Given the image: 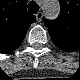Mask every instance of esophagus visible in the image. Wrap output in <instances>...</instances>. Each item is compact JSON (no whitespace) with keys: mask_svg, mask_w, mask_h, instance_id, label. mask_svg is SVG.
<instances>
[{"mask_svg":"<svg viewBox=\"0 0 80 80\" xmlns=\"http://www.w3.org/2000/svg\"><path fill=\"white\" fill-rule=\"evenodd\" d=\"M42 18H43V13L42 12H38L37 14H36V19H37V21H41L42 20Z\"/></svg>","mask_w":80,"mask_h":80,"instance_id":"esophagus-1","label":"esophagus"}]
</instances>
